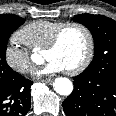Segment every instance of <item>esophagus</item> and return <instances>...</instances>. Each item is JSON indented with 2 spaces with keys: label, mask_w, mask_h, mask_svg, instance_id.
I'll return each mask as SVG.
<instances>
[{
  "label": "esophagus",
  "mask_w": 116,
  "mask_h": 116,
  "mask_svg": "<svg viewBox=\"0 0 116 116\" xmlns=\"http://www.w3.org/2000/svg\"><path fill=\"white\" fill-rule=\"evenodd\" d=\"M53 81V79L51 78H46V79H43L42 82L44 83H51Z\"/></svg>",
  "instance_id": "34e87169"
}]
</instances>
